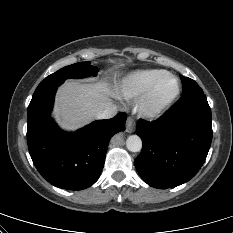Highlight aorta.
Segmentation results:
<instances>
[{
  "mask_svg": "<svg viewBox=\"0 0 233 233\" xmlns=\"http://www.w3.org/2000/svg\"><path fill=\"white\" fill-rule=\"evenodd\" d=\"M126 147L131 152H139L142 149V140L137 135H131L126 140Z\"/></svg>",
  "mask_w": 233,
  "mask_h": 233,
  "instance_id": "1",
  "label": "aorta"
}]
</instances>
